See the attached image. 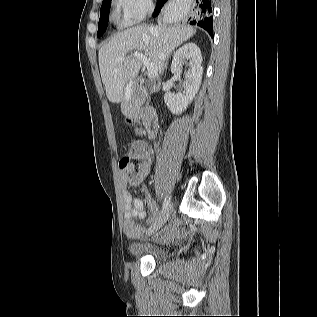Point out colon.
I'll list each match as a JSON object with an SVG mask.
<instances>
[{"mask_svg": "<svg viewBox=\"0 0 317 317\" xmlns=\"http://www.w3.org/2000/svg\"><path fill=\"white\" fill-rule=\"evenodd\" d=\"M119 164L131 182L140 180L147 172L145 160L139 155L135 146L129 154L122 157Z\"/></svg>", "mask_w": 317, "mask_h": 317, "instance_id": "1", "label": "colon"}]
</instances>
